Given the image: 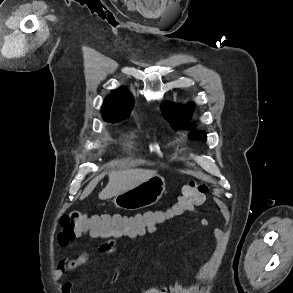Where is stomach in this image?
Listing matches in <instances>:
<instances>
[{"instance_id":"0dacf381","label":"stomach","mask_w":293,"mask_h":293,"mask_svg":"<svg viewBox=\"0 0 293 293\" xmlns=\"http://www.w3.org/2000/svg\"><path fill=\"white\" fill-rule=\"evenodd\" d=\"M165 179L155 174L147 181L116 195L113 203L117 208L134 211L157 203L165 192Z\"/></svg>"}]
</instances>
